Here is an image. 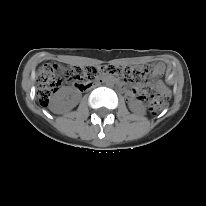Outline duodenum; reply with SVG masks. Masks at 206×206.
I'll use <instances>...</instances> for the list:
<instances>
[{
  "label": "duodenum",
  "mask_w": 206,
  "mask_h": 206,
  "mask_svg": "<svg viewBox=\"0 0 206 206\" xmlns=\"http://www.w3.org/2000/svg\"><path fill=\"white\" fill-rule=\"evenodd\" d=\"M103 81V79H99L98 81H97V83H101ZM119 84H121V82H118Z\"/></svg>",
  "instance_id": "410a0bca"
}]
</instances>
